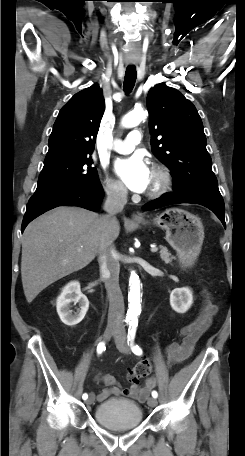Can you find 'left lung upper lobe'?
<instances>
[{"label":"left lung upper lobe","instance_id":"left-lung-upper-lobe-1","mask_svg":"<svg viewBox=\"0 0 245 456\" xmlns=\"http://www.w3.org/2000/svg\"><path fill=\"white\" fill-rule=\"evenodd\" d=\"M146 104L151 149L171 170L174 192L221 196L195 106L163 83L150 89Z\"/></svg>","mask_w":245,"mask_h":456}]
</instances>
